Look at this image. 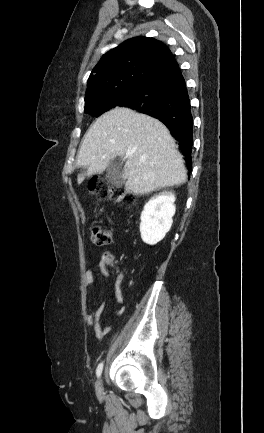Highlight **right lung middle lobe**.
Here are the masks:
<instances>
[{"label": "right lung middle lobe", "instance_id": "right-lung-middle-lobe-1", "mask_svg": "<svg viewBox=\"0 0 264 433\" xmlns=\"http://www.w3.org/2000/svg\"><path fill=\"white\" fill-rule=\"evenodd\" d=\"M140 88L141 84L133 85L101 97L85 99V112L94 117H98L116 106H124L138 93Z\"/></svg>", "mask_w": 264, "mask_h": 433}]
</instances>
